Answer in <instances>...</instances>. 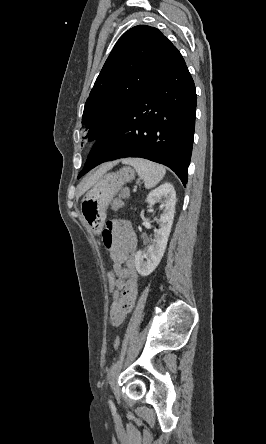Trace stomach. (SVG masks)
<instances>
[{
    "label": "stomach",
    "mask_w": 266,
    "mask_h": 444,
    "mask_svg": "<svg viewBox=\"0 0 266 444\" xmlns=\"http://www.w3.org/2000/svg\"><path fill=\"white\" fill-rule=\"evenodd\" d=\"M135 172L125 166L117 172L103 175L86 193L81 202V215L86 225L98 233L105 222L106 210L121 187L133 180Z\"/></svg>",
    "instance_id": "obj_1"
}]
</instances>
